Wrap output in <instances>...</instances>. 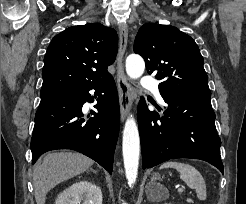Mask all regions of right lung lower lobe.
I'll list each match as a JSON object with an SVG mask.
<instances>
[{"label":"right lung lower lobe","mask_w":246,"mask_h":204,"mask_svg":"<svg viewBox=\"0 0 246 204\" xmlns=\"http://www.w3.org/2000/svg\"><path fill=\"white\" fill-rule=\"evenodd\" d=\"M90 90H95L98 96L96 110L84 114L83 104L94 101ZM119 122L118 95L112 77L92 84L41 92L31 139L32 164L47 151L73 149L112 173Z\"/></svg>","instance_id":"1"}]
</instances>
